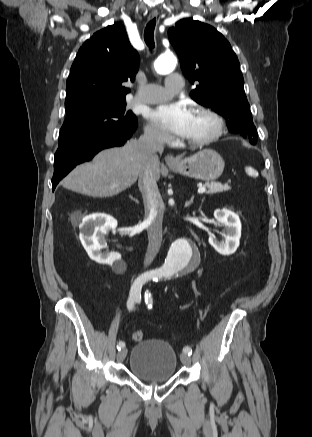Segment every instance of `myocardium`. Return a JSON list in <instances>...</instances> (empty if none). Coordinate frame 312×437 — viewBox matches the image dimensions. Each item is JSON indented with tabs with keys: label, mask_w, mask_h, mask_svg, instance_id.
Listing matches in <instances>:
<instances>
[{
	"label": "myocardium",
	"mask_w": 312,
	"mask_h": 437,
	"mask_svg": "<svg viewBox=\"0 0 312 437\" xmlns=\"http://www.w3.org/2000/svg\"><path fill=\"white\" fill-rule=\"evenodd\" d=\"M193 112L201 114L211 119L213 122V129L203 137L193 140L183 139L181 141L183 144L190 145V146H202L216 140L222 135L225 129V120L221 114H219L217 111L211 108L204 107V106L195 107L193 109Z\"/></svg>",
	"instance_id": "myocardium-1"
}]
</instances>
